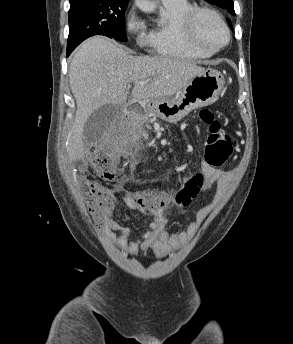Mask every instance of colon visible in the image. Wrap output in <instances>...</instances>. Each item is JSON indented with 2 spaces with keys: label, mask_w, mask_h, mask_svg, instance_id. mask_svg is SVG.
I'll return each mask as SVG.
<instances>
[{
  "label": "colon",
  "mask_w": 293,
  "mask_h": 344,
  "mask_svg": "<svg viewBox=\"0 0 293 344\" xmlns=\"http://www.w3.org/2000/svg\"><path fill=\"white\" fill-rule=\"evenodd\" d=\"M199 119L209 128L204 160L212 168L222 167L232 155V139L223 130L216 112L211 109H202ZM89 166L100 177L112 180L120 173V165L111 154L99 151L89 158ZM87 207L97 226L103 225L106 218L110 217L114 201L110 193L100 184L90 182L85 187ZM200 191L198 179L190 180L173 196H167L160 191H133L136 201L144 207H170L173 205L187 206Z\"/></svg>",
  "instance_id": "obj_1"
}]
</instances>
